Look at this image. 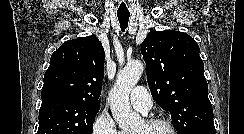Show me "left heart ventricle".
I'll return each mask as SVG.
<instances>
[{"label":"left heart ventricle","mask_w":244,"mask_h":134,"mask_svg":"<svg viewBox=\"0 0 244 134\" xmlns=\"http://www.w3.org/2000/svg\"><path fill=\"white\" fill-rule=\"evenodd\" d=\"M133 134H171L168 128L162 125L148 127L142 122Z\"/></svg>","instance_id":"1"}]
</instances>
